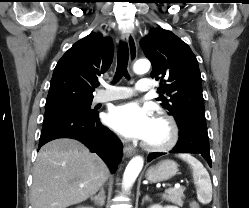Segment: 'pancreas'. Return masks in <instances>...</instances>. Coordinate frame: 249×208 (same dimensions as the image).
Segmentation results:
<instances>
[{
	"mask_svg": "<svg viewBox=\"0 0 249 208\" xmlns=\"http://www.w3.org/2000/svg\"><path fill=\"white\" fill-rule=\"evenodd\" d=\"M184 189L179 188V189H172L168 191L167 195H164L163 198L166 199L167 201H170L178 206L183 205V198H184Z\"/></svg>",
	"mask_w": 249,
	"mask_h": 208,
	"instance_id": "pancreas-1",
	"label": "pancreas"
}]
</instances>
